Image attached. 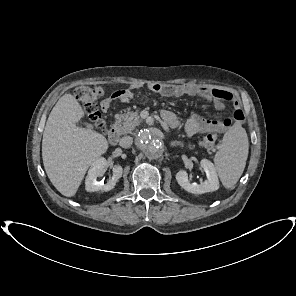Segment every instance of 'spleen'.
<instances>
[{"instance_id": "3e777b00", "label": "spleen", "mask_w": 296, "mask_h": 296, "mask_svg": "<svg viewBox=\"0 0 296 296\" xmlns=\"http://www.w3.org/2000/svg\"><path fill=\"white\" fill-rule=\"evenodd\" d=\"M249 142L245 129L235 123L224 134L214 158L215 169L225 188L233 187L241 177L248 157Z\"/></svg>"}]
</instances>
